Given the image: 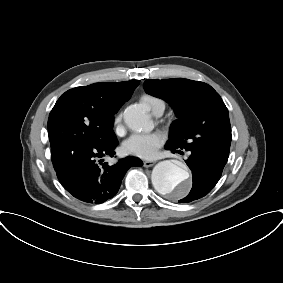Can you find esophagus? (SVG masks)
I'll return each instance as SVG.
<instances>
[{
  "instance_id": "1",
  "label": "esophagus",
  "mask_w": 283,
  "mask_h": 283,
  "mask_svg": "<svg viewBox=\"0 0 283 283\" xmlns=\"http://www.w3.org/2000/svg\"><path fill=\"white\" fill-rule=\"evenodd\" d=\"M155 163H156V161H144L143 166L148 168V167L153 166Z\"/></svg>"
}]
</instances>
